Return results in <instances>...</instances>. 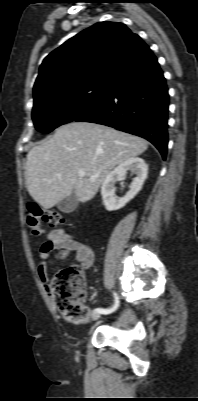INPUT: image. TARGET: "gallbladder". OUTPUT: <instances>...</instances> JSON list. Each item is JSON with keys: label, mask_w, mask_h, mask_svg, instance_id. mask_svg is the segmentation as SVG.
Segmentation results:
<instances>
[{"label": "gallbladder", "mask_w": 198, "mask_h": 401, "mask_svg": "<svg viewBox=\"0 0 198 401\" xmlns=\"http://www.w3.org/2000/svg\"><path fill=\"white\" fill-rule=\"evenodd\" d=\"M78 205V197L72 192L69 196L60 200L57 204V208L63 213H70L76 209Z\"/></svg>", "instance_id": "obj_1"}]
</instances>
